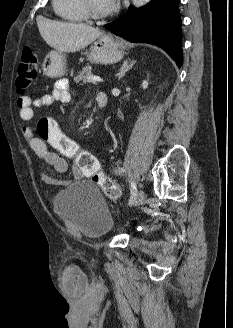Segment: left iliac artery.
Masks as SVG:
<instances>
[{
	"mask_svg": "<svg viewBox=\"0 0 233 328\" xmlns=\"http://www.w3.org/2000/svg\"><path fill=\"white\" fill-rule=\"evenodd\" d=\"M131 198H130V203L134 200L135 195L137 193V188H136V184L134 182H131Z\"/></svg>",
	"mask_w": 233,
	"mask_h": 328,
	"instance_id": "obj_1",
	"label": "left iliac artery"
}]
</instances>
